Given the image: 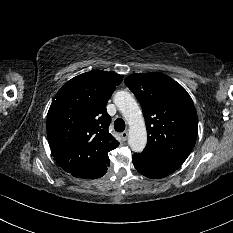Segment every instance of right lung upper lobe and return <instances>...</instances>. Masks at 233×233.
<instances>
[{"label": "right lung upper lobe", "instance_id": "right-lung-upper-lobe-1", "mask_svg": "<svg viewBox=\"0 0 233 233\" xmlns=\"http://www.w3.org/2000/svg\"><path fill=\"white\" fill-rule=\"evenodd\" d=\"M123 79L94 70L68 81L56 94L47 115V137L58 164L77 178L102 177L108 152L119 142L108 132L106 104Z\"/></svg>", "mask_w": 233, "mask_h": 233}]
</instances>
